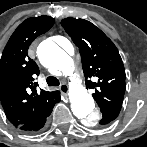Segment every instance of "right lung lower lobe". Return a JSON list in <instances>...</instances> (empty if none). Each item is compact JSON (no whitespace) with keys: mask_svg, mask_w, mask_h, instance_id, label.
Listing matches in <instances>:
<instances>
[{"mask_svg":"<svg viewBox=\"0 0 147 147\" xmlns=\"http://www.w3.org/2000/svg\"><path fill=\"white\" fill-rule=\"evenodd\" d=\"M61 100L60 94H57L55 102L46 108L41 114L31 119L30 121L20 125L19 129L24 131H38L45 125L47 117L51 114L54 105Z\"/></svg>","mask_w":147,"mask_h":147,"instance_id":"98d812e1","label":"right lung lower lobe"}]
</instances>
